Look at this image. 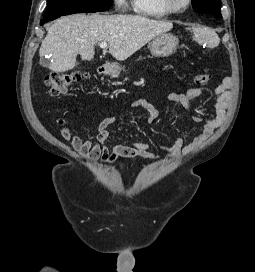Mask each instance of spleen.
Listing matches in <instances>:
<instances>
[{
  "label": "spleen",
  "mask_w": 255,
  "mask_h": 272,
  "mask_svg": "<svg viewBox=\"0 0 255 272\" xmlns=\"http://www.w3.org/2000/svg\"><path fill=\"white\" fill-rule=\"evenodd\" d=\"M193 33V40L199 44H207L209 48H215L219 45L220 39L216 32L207 27L188 28Z\"/></svg>",
  "instance_id": "1"
}]
</instances>
